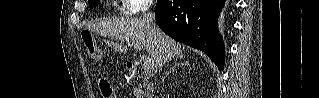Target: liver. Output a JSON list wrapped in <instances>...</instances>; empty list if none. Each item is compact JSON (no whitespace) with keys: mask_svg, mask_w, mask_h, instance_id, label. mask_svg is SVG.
<instances>
[{"mask_svg":"<svg viewBox=\"0 0 319 98\" xmlns=\"http://www.w3.org/2000/svg\"><path fill=\"white\" fill-rule=\"evenodd\" d=\"M88 28L104 37H115L121 42H137L145 48L156 68H162L167 62L182 54V45L163 33L158 27L152 32L143 18H119L90 24ZM114 50L122 53L127 46L108 42Z\"/></svg>","mask_w":319,"mask_h":98,"instance_id":"liver-1","label":"liver"}]
</instances>
